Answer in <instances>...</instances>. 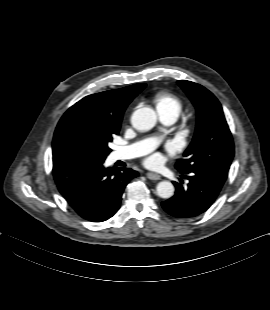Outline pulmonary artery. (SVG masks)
<instances>
[{
  "label": "pulmonary artery",
  "instance_id": "pulmonary-artery-1",
  "mask_svg": "<svg viewBox=\"0 0 270 310\" xmlns=\"http://www.w3.org/2000/svg\"><path fill=\"white\" fill-rule=\"evenodd\" d=\"M162 122L169 126L176 121L174 116H160ZM160 138H150L140 142H136L130 146L120 148L115 152V158L120 160L132 159L141 156L148 151H150L157 143H159Z\"/></svg>",
  "mask_w": 270,
  "mask_h": 310
}]
</instances>
